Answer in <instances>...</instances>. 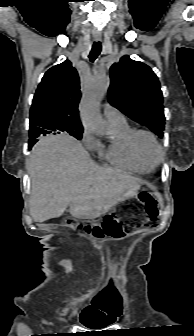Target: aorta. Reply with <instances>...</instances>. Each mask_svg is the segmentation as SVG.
I'll return each instance as SVG.
<instances>
[{
  "label": "aorta",
  "instance_id": "obj_1",
  "mask_svg": "<svg viewBox=\"0 0 194 336\" xmlns=\"http://www.w3.org/2000/svg\"><path fill=\"white\" fill-rule=\"evenodd\" d=\"M109 87V80L105 76H99L91 81L85 87L81 103L80 115L83 126L89 132L98 136L108 134L107 124L102 118L99 105L102 97Z\"/></svg>",
  "mask_w": 194,
  "mask_h": 336
}]
</instances>
